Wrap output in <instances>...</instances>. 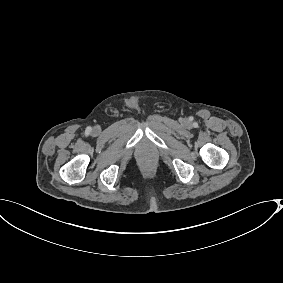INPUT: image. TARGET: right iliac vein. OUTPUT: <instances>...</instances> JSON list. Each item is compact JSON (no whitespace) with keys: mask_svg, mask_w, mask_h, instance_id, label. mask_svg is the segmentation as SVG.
Here are the masks:
<instances>
[{"mask_svg":"<svg viewBox=\"0 0 283 283\" xmlns=\"http://www.w3.org/2000/svg\"><path fill=\"white\" fill-rule=\"evenodd\" d=\"M97 131H98V128H97V127H95V128H94V132H97Z\"/></svg>","mask_w":283,"mask_h":283,"instance_id":"obj_1","label":"right iliac vein"}]
</instances>
